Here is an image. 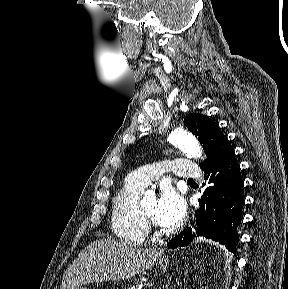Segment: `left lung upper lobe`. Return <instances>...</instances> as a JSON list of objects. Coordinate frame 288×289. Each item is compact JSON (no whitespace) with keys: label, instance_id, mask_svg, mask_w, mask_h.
Instances as JSON below:
<instances>
[{"label":"left lung upper lobe","instance_id":"1","mask_svg":"<svg viewBox=\"0 0 288 289\" xmlns=\"http://www.w3.org/2000/svg\"><path fill=\"white\" fill-rule=\"evenodd\" d=\"M184 124L198 137L204 149L206 159L200 163V167H203L213 159L218 148L227 137L221 132L219 125L205 115L189 114L185 117Z\"/></svg>","mask_w":288,"mask_h":289}]
</instances>
